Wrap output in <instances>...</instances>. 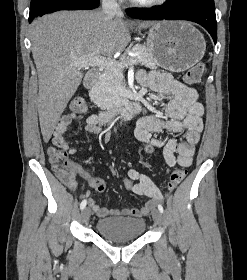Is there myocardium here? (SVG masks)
<instances>
[{"label":"myocardium","mask_w":247,"mask_h":280,"mask_svg":"<svg viewBox=\"0 0 247 280\" xmlns=\"http://www.w3.org/2000/svg\"><path fill=\"white\" fill-rule=\"evenodd\" d=\"M132 5L141 7V8H153L160 5H163L167 2V0H147V1H139V0H129Z\"/></svg>","instance_id":"f54148a6"}]
</instances>
